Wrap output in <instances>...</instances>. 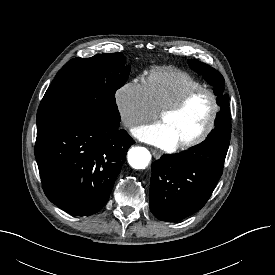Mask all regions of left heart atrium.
Returning <instances> with one entry per match:
<instances>
[{
  "mask_svg": "<svg viewBox=\"0 0 275 275\" xmlns=\"http://www.w3.org/2000/svg\"><path fill=\"white\" fill-rule=\"evenodd\" d=\"M133 134L141 141L163 149H172L177 145L175 138L162 122L138 127L133 130Z\"/></svg>",
  "mask_w": 275,
  "mask_h": 275,
  "instance_id": "1",
  "label": "left heart atrium"
}]
</instances>
